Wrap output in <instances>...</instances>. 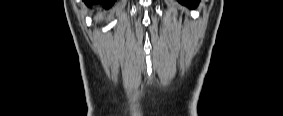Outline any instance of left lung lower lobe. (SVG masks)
Instances as JSON below:
<instances>
[{
  "label": "left lung lower lobe",
  "mask_w": 283,
  "mask_h": 116,
  "mask_svg": "<svg viewBox=\"0 0 283 116\" xmlns=\"http://www.w3.org/2000/svg\"><path fill=\"white\" fill-rule=\"evenodd\" d=\"M178 1L181 4H183V5L187 6V7H190V8L195 7L198 4V2H199V0H178Z\"/></svg>",
  "instance_id": "obj_1"
}]
</instances>
